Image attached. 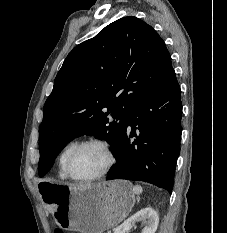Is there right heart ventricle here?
<instances>
[{"label":"right heart ventricle","mask_w":227,"mask_h":233,"mask_svg":"<svg viewBox=\"0 0 227 233\" xmlns=\"http://www.w3.org/2000/svg\"><path fill=\"white\" fill-rule=\"evenodd\" d=\"M75 144H76L75 142H71V143L67 144L64 147V149L61 151V153L58 157V162H57L58 176L63 180L68 179V176H67L66 171H65V160H66L67 154L69 153V151L73 148V146Z\"/></svg>","instance_id":"e07e8e85"}]
</instances>
